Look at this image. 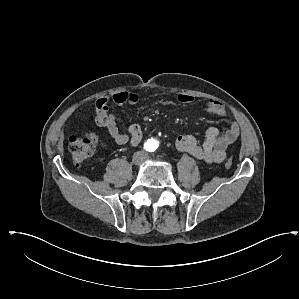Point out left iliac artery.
I'll return each instance as SVG.
<instances>
[{"instance_id":"44dca946","label":"left iliac artery","mask_w":299,"mask_h":299,"mask_svg":"<svg viewBox=\"0 0 299 299\" xmlns=\"http://www.w3.org/2000/svg\"><path fill=\"white\" fill-rule=\"evenodd\" d=\"M157 147H158L157 143L153 144L151 147V151H155L157 149Z\"/></svg>"}]
</instances>
